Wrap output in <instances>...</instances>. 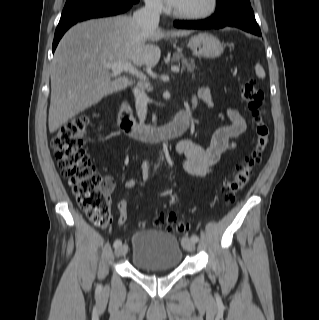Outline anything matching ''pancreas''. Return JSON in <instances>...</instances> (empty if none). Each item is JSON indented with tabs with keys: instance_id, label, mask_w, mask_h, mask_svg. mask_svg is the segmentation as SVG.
<instances>
[{
	"instance_id": "pancreas-1",
	"label": "pancreas",
	"mask_w": 319,
	"mask_h": 320,
	"mask_svg": "<svg viewBox=\"0 0 319 320\" xmlns=\"http://www.w3.org/2000/svg\"><path fill=\"white\" fill-rule=\"evenodd\" d=\"M173 63H181L183 68H187V71L193 73L195 70V63L192 59H187L181 53H174L172 57Z\"/></svg>"
}]
</instances>
